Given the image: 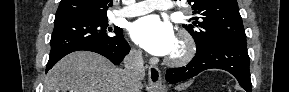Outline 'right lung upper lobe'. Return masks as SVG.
Instances as JSON below:
<instances>
[{"label":"right lung upper lobe","instance_id":"cb5924a9","mask_svg":"<svg viewBox=\"0 0 289 92\" xmlns=\"http://www.w3.org/2000/svg\"><path fill=\"white\" fill-rule=\"evenodd\" d=\"M112 5V0H61L54 22L81 17L107 18L106 10Z\"/></svg>","mask_w":289,"mask_h":92}]
</instances>
